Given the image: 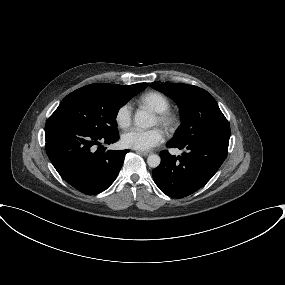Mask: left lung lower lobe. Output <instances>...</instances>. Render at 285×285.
<instances>
[{
    "instance_id": "0a47b994",
    "label": "left lung lower lobe",
    "mask_w": 285,
    "mask_h": 285,
    "mask_svg": "<svg viewBox=\"0 0 285 285\" xmlns=\"http://www.w3.org/2000/svg\"><path fill=\"white\" fill-rule=\"evenodd\" d=\"M228 144L195 140L187 144L169 142L168 147L185 149L182 156L162 151L161 164L153 170L159 189L172 198L188 196L203 187L217 172L227 156Z\"/></svg>"
}]
</instances>
